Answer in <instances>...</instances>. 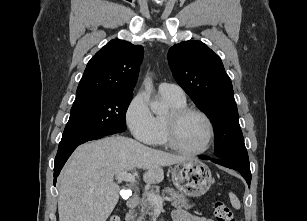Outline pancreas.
<instances>
[{"label": "pancreas", "mask_w": 307, "mask_h": 221, "mask_svg": "<svg viewBox=\"0 0 307 221\" xmlns=\"http://www.w3.org/2000/svg\"><path fill=\"white\" fill-rule=\"evenodd\" d=\"M151 194L159 195L160 189L155 188L150 190ZM162 194H167L171 201L172 205L175 208H184V209H190L191 205H189V200L179 192L175 191L173 188L166 187L162 190ZM154 205L148 200L147 195L144 194L143 197L139 201V212H135L131 215L130 220L131 221H146L147 216L149 218L152 215Z\"/></svg>", "instance_id": "cf45deb5"}]
</instances>
